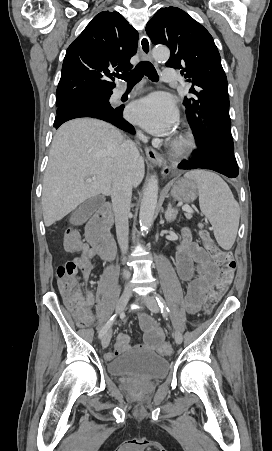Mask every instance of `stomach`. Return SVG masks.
<instances>
[{
    "instance_id": "0dacf381",
    "label": "stomach",
    "mask_w": 272,
    "mask_h": 451,
    "mask_svg": "<svg viewBox=\"0 0 272 451\" xmlns=\"http://www.w3.org/2000/svg\"><path fill=\"white\" fill-rule=\"evenodd\" d=\"M171 196L172 198H175V200H180V202H187V204H190V202L196 200L198 196L196 182L186 180V178H179L171 190Z\"/></svg>"
}]
</instances>
